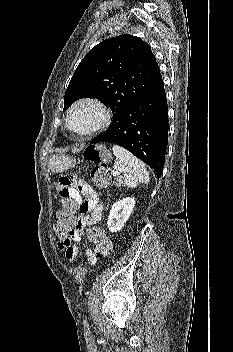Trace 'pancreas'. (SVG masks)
<instances>
[{"mask_svg": "<svg viewBox=\"0 0 233 352\" xmlns=\"http://www.w3.org/2000/svg\"><path fill=\"white\" fill-rule=\"evenodd\" d=\"M115 185H116L117 187H121V186H122V181H121L120 179H118V180L116 181Z\"/></svg>", "mask_w": 233, "mask_h": 352, "instance_id": "cf45deb5", "label": "pancreas"}]
</instances>
